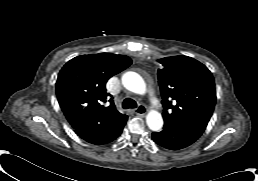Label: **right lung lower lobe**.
<instances>
[{"label": "right lung lower lobe", "instance_id": "right-lung-lower-lobe-1", "mask_svg": "<svg viewBox=\"0 0 258 181\" xmlns=\"http://www.w3.org/2000/svg\"><path fill=\"white\" fill-rule=\"evenodd\" d=\"M127 116L117 120L101 123L87 129L75 130L84 140L95 145L107 144L116 139L122 132Z\"/></svg>", "mask_w": 258, "mask_h": 181}]
</instances>
